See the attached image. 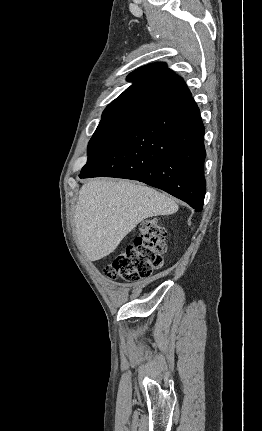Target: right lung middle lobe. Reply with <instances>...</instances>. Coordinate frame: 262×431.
Returning <instances> with one entry per match:
<instances>
[{"instance_id":"1","label":"right lung middle lobe","mask_w":262,"mask_h":431,"mask_svg":"<svg viewBox=\"0 0 262 431\" xmlns=\"http://www.w3.org/2000/svg\"><path fill=\"white\" fill-rule=\"evenodd\" d=\"M133 125H99L88 144V161L81 172L91 167Z\"/></svg>"}]
</instances>
